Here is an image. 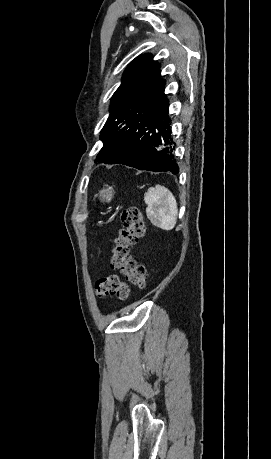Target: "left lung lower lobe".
I'll use <instances>...</instances> for the list:
<instances>
[{
    "label": "left lung lower lobe",
    "instance_id": "obj_1",
    "mask_svg": "<svg viewBox=\"0 0 271 459\" xmlns=\"http://www.w3.org/2000/svg\"><path fill=\"white\" fill-rule=\"evenodd\" d=\"M164 84L155 93L154 105L147 113L130 117L110 134L108 153L99 163L178 174Z\"/></svg>",
    "mask_w": 271,
    "mask_h": 459
}]
</instances>
